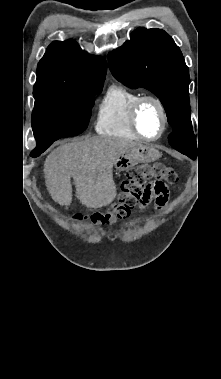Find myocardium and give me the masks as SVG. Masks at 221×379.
Listing matches in <instances>:
<instances>
[{
  "mask_svg": "<svg viewBox=\"0 0 221 379\" xmlns=\"http://www.w3.org/2000/svg\"><path fill=\"white\" fill-rule=\"evenodd\" d=\"M146 102H153V103H155L157 105L159 111H160L161 118H162L161 130H160V132L156 136H153V137L146 136L141 131V129L139 127V123H138V117H139L140 109L142 108V106ZM130 124H131V127H132L133 131L136 133V135L139 138H141L143 140H146V141H155V140L160 139L163 136V134L165 133V131L167 129V125H168L167 111H166V108H165L163 102L161 101V99L158 98L157 96H154V95H142V96H140L134 102V104L131 107V110H130Z\"/></svg>",
  "mask_w": 221,
  "mask_h": 379,
  "instance_id": "1",
  "label": "myocardium"
}]
</instances>
